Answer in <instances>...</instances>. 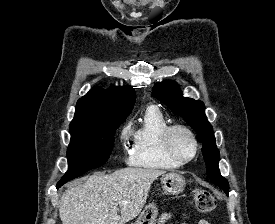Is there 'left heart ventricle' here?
Returning a JSON list of instances; mask_svg holds the SVG:
<instances>
[{
	"mask_svg": "<svg viewBox=\"0 0 275 224\" xmlns=\"http://www.w3.org/2000/svg\"><path fill=\"white\" fill-rule=\"evenodd\" d=\"M173 147L182 156L193 153L194 146L191 139L182 132H177L173 137Z\"/></svg>",
	"mask_w": 275,
	"mask_h": 224,
	"instance_id": "obj_1",
	"label": "left heart ventricle"
}]
</instances>
